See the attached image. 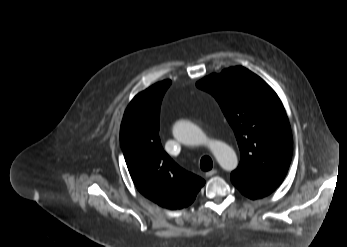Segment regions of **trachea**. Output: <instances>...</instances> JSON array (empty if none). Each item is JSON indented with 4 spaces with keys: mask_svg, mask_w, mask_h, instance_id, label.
<instances>
[{
    "mask_svg": "<svg viewBox=\"0 0 347 247\" xmlns=\"http://www.w3.org/2000/svg\"><path fill=\"white\" fill-rule=\"evenodd\" d=\"M200 167L203 171H209L213 167V162L209 156H204L200 160Z\"/></svg>",
    "mask_w": 347,
    "mask_h": 247,
    "instance_id": "obj_1",
    "label": "trachea"
}]
</instances>
